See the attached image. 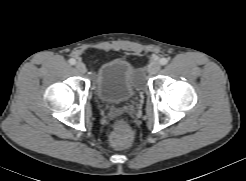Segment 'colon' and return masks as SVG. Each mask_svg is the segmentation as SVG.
Instances as JSON below:
<instances>
[{
  "label": "colon",
  "instance_id": "colon-1",
  "mask_svg": "<svg viewBox=\"0 0 246 181\" xmlns=\"http://www.w3.org/2000/svg\"><path fill=\"white\" fill-rule=\"evenodd\" d=\"M133 139V131L130 125L125 121H117L113 125L110 134V145L115 149L128 146Z\"/></svg>",
  "mask_w": 246,
  "mask_h": 181
}]
</instances>
